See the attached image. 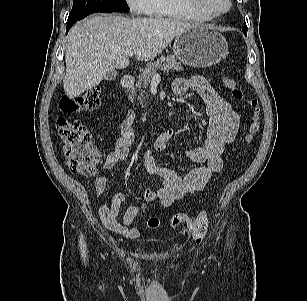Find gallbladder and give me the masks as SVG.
<instances>
[{
  "label": "gallbladder",
  "mask_w": 307,
  "mask_h": 301,
  "mask_svg": "<svg viewBox=\"0 0 307 301\" xmlns=\"http://www.w3.org/2000/svg\"><path fill=\"white\" fill-rule=\"evenodd\" d=\"M117 73L116 71H111L109 72L106 76H105V79L106 80H113L115 77H116Z\"/></svg>",
  "instance_id": "gallbladder-1"
}]
</instances>
